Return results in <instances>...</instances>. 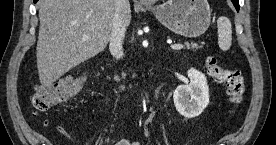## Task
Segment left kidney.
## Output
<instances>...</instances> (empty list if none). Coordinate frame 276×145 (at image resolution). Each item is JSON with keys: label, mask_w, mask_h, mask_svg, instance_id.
<instances>
[{"label": "left kidney", "mask_w": 276, "mask_h": 145, "mask_svg": "<svg viewBox=\"0 0 276 145\" xmlns=\"http://www.w3.org/2000/svg\"><path fill=\"white\" fill-rule=\"evenodd\" d=\"M190 83L178 86L173 94L177 111L185 118L199 116L209 104V87L206 77L196 69H189Z\"/></svg>", "instance_id": "5707ae66"}]
</instances>
